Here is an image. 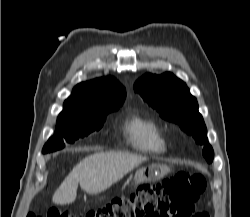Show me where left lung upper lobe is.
Listing matches in <instances>:
<instances>
[{
  "instance_id": "1",
  "label": "left lung upper lobe",
  "mask_w": 250,
  "mask_h": 217,
  "mask_svg": "<svg viewBox=\"0 0 250 217\" xmlns=\"http://www.w3.org/2000/svg\"><path fill=\"white\" fill-rule=\"evenodd\" d=\"M134 89L162 118L179 124L198 144L204 145L203 156L209 163L213 161L214 151L208 142L197 100L182 80L168 72L161 75L147 73L135 83Z\"/></svg>"
}]
</instances>
